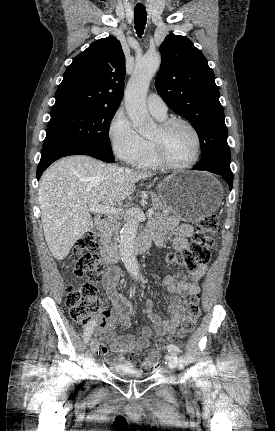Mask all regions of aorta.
Masks as SVG:
<instances>
[{
    "label": "aorta",
    "mask_w": 275,
    "mask_h": 431,
    "mask_svg": "<svg viewBox=\"0 0 275 431\" xmlns=\"http://www.w3.org/2000/svg\"><path fill=\"white\" fill-rule=\"evenodd\" d=\"M161 57L158 53H147L137 61L125 91V108L130 120L140 135L148 136L154 122L146 107V95L150 82L159 68ZM138 230V220L130 218L120 233L119 251L127 271L136 279L140 269L134 253V240Z\"/></svg>",
    "instance_id": "762f6f07"
}]
</instances>
